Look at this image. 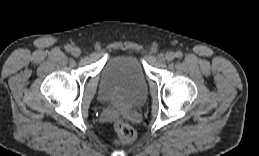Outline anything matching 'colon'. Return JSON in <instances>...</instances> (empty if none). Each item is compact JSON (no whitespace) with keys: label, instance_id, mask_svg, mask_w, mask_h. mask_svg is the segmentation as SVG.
<instances>
[{"label":"colon","instance_id":"colon-1","mask_svg":"<svg viewBox=\"0 0 259 156\" xmlns=\"http://www.w3.org/2000/svg\"><path fill=\"white\" fill-rule=\"evenodd\" d=\"M115 131L117 134V142L121 144H129L136 138L135 130L128 123L118 121L115 123Z\"/></svg>","mask_w":259,"mask_h":156}]
</instances>
